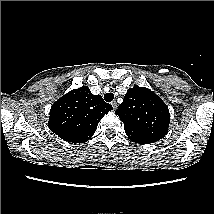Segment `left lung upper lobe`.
Here are the masks:
<instances>
[{
    "mask_svg": "<svg viewBox=\"0 0 214 214\" xmlns=\"http://www.w3.org/2000/svg\"><path fill=\"white\" fill-rule=\"evenodd\" d=\"M115 113L124 130L135 143H154L168 133L170 113L163 100L145 87L128 89Z\"/></svg>",
    "mask_w": 214,
    "mask_h": 214,
    "instance_id": "1",
    "label": "left lung upper lobe"
}]
</instances>
